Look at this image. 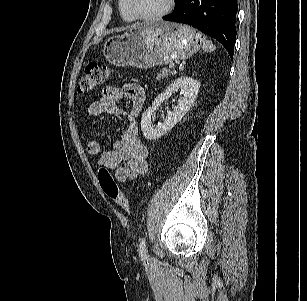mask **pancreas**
I'll list each match as a JSON object with an SVG mask.
<instances>
[{"label": "pancreas", "instance_id": "cf45deb5", "mask_svg": "<svg viewBox=\"0 0 307 301\" xmlns=\"http://www.w3.org/2000/svg\"><path fill=\"white\" fill-rule=\"evenodd\" d=\"M169 75H171L170 69L164 68L162 71H160V73H157L156 78H157V80H161V79L168 77Z\"/></svg>", "mask_w": 307, "mask_h": 301}]
</instances>
